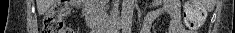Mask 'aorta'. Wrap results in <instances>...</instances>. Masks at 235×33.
<instances>
[{"label": "aorta", "mask_w": 235, "mask_h": 33, "mask_svg": "<svg viewBox=\"0 0 235 33\" xmlns=\"http://www.w3.org/2000/svg\"><path fill=\"white\" fill-rule=\"evenodd\" d=\"M134 0H123L121 10L122 28L127 30L132 23Z\"/></svg>", "instance_id": "aorta-1"}]
</instances>
